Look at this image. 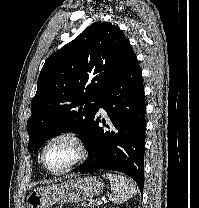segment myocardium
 Masks as SVG:
<instances>
[{
  "instance_id": "obj_1",
  "label": "myocardium",
  "mask_w": 199,
  "mask_h": 208,
  "mask_svg": "<svg viewBox=\"0 0 199 208\" xmlns=\"http://www.w3.org/2000/svg\"><path fill=\"white\" fill-rule=\"evenodd\" d=\"M63 139L70 140L71 142H73L76 145V147L78 149L77 158L65 167H62L59 169H52L47 165V162L45 159L46 149L54 141L63 140ZM87 157H88V147H87L85 141L75 132H62V133L52 136L51 138H49L45 142V144L43 145L42 150H41V162H42L43 166L45 167V169L53 174L67 173V172L73 170L74 168L80 166L87 159Z\"/></svg>"
}]
</instances>
